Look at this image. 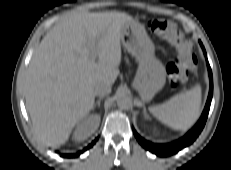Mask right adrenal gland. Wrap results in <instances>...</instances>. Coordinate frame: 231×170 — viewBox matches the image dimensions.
<instances>
[{
	"instance_id": "2a0ac1e0",
	"label": "right adrenal gland",
	"mask_w": 231,
	"mask_h": 170,
	"mask_svg": "<svg viewBox=\"0 0 231 170\" xmlns=\"http://www.w3.org/2000/svg\"><path fill=\"white\" fill-rule=\"evenodd\" d=\"M101 100H102V98L100 97V98L96 101V103L94 104L93 107H95L96 105L99 107V106H100V103H101Z\"/></svg>"
}]
</instances>
